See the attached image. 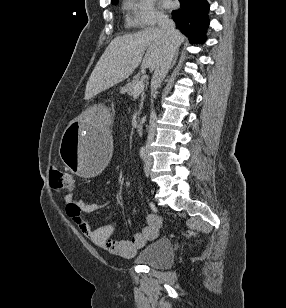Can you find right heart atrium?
Instances as JSON below:
<instances>
[{
  "label": "right heart atrium",
  "mask_w": 286,
  "mask_h": 308,
  "mask_svg": "<svg viewBox=\"0 0 286 308\" xmlns=\"http://www.w3.org/2000/svg\"><path fill=\"white\" fill-rule=\"evenodd\" d=\"M125 10L130 22L141 29L152 28L165 20V14L156 7L154 0H125Z\"/></svg>",
  "instance_id": "obj_1"
}]
</instances>
